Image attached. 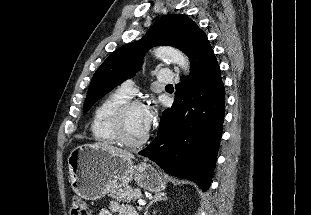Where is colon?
I'll return each mask as SVG.
<instances>
[{
  "label": "colon",
  "mask_w": 311,
  "mask_h": 215,
  "mask_svg": "<svg viewBox=\"0 0 311 215\" xmlns=\"http://www.w3.org/2000/svg\"><path fill=\"white\" fill-rule=\"evenodd\" d=\"M71 215H90L88 204L83 199L74 197L71 205Z\"/></svg>",
  "instance_id": "obj_1"
}]
</instances>
